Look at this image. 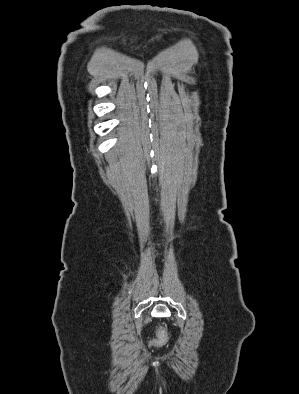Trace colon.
<instances>
[{
	"label": "colon",
	"mask_w": 299,
	"mask_h": 394,
	"mask_svg": "<svg viewBox=\"0 0 299 394\" xmlns=\"http://www.w3.org/2000/svg\"><path fill=\"white\" fill-rule=\"evenodd\" d=\"M169 341L168 331L165 327H160L157 331V335L154 339L149 342L151 347H162Z\"/></svg>",
	"instance_id": "1"
}]
</instances>
